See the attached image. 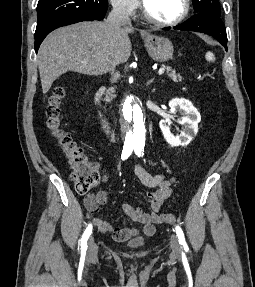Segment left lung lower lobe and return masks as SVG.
<instances>
[{
  "instance_id": "left-lung-lower-lobe-1",
  "label": "left lung lower lobe",
  "mask_w": 255,
  "mask_h": 287,
  "mask_svg": "<svg viewBox=\"0 0 255 287\" xmlns=\"http://www.w3.org/2000/svg\"><path fill=\"white\" fill-rule=\"evenodd\" d=\"M170 27L164 28L169 30ZM174 29L182 31H196L215 37L227 50V35L224 23L220 17L210 13H198Z\"/></svg>"
}]
</instances>
